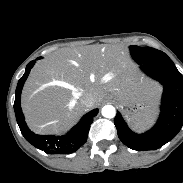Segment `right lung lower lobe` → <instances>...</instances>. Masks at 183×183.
Listing matches in <instances>:
<instances>
[{
	"label": "right lung lower lobe",
	"instance_id": "right-lung-lower-lobe-1",
	"mask_svg": "<svg viewBox=\"0 0 183 183\" xmlns=\"http://www.w3.org/2000/svg\"><path fill=\"white\" fill-rule=\"evenodd\" d=\"M35 62L36 60H33L26 66L24 75L18 81L15 93L14 111L21 133L29 143L48 154H69L75 152L86 142L90 125L93 122V117L97 115L98 109H94L85 114L81 120L63 136H42L33 133L26 125L20 106V97L24 82Z\"/></svg>",
	"mask_w": 183,
	"mask_h": 183
}]
</instances>
